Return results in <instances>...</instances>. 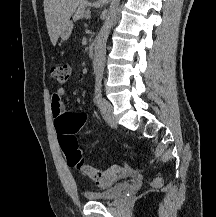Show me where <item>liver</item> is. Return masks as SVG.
Listing matches in <instances>:
<instances>
[{"label": "liver", "mask_w": 216, "mask_h": 217, "mask_svg": "<svg viewBox=\"0 0 216 217\" xmlns=\"http://www.w3.org/2000/svg\"><path fill=\"white\" fill-rule=\"evenodd\" d=\"M83 2L84 0H43L46 25L53 46L66 23Z\"/></svg>", "instance_id": "6515ba94"}]
</instances>
